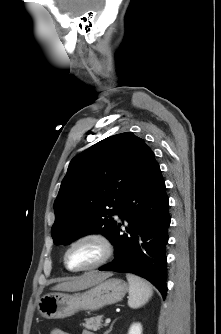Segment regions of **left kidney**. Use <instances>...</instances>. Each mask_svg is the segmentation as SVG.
Returning <instances> with one entry per match:
<instances>
[{"mask_svg":"<svg viewBox=\"0 0 221 334\" xmlns=\"http://www.w3.org/2000/svg\"><path fill=\"white\" fill-rule=\"evenodd\" d=\"M128 334H142V326L140 323H133L128 331Z\"/></svg>","mask_w":221,"mask_h":334,"instance_id":"1","label":"left kidney"}]
</instances>
